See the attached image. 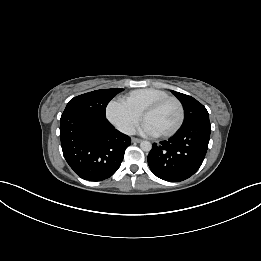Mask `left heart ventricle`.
Returning <instances> with one entry per match:
<instances>
[{"mask_svg":"<svg viewBox=\"0 0 261 261\" xmlns=\"http://www.w3.org/2000/svg\"><path fill=\"white\" fill-rule=\"evenodd\" d=\"M179 119V109L174 102H167L155 111L149 113L144 121L153 127L158 133L172 129Z\"/></svg>","mask_w":261,"mask_h":261,"instance_id":"1","label":"left heart ventricle"}]
</instances>
